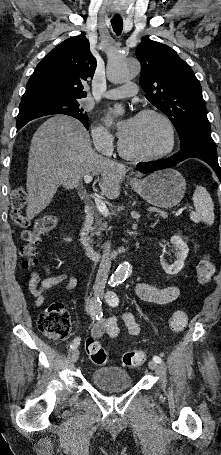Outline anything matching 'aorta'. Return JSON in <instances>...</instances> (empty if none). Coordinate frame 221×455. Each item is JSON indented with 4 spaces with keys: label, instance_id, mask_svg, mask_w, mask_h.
I'll list each match as a JSON object with an SVG mask.
<instances>
[{
    "label": "aorta",
    "instance_id": "762f6f07",
    "mask_svg": "<svg viewBox=\"0 0 221 455\" xmlns=\"http://www.w3.org/2000/svg\"><path fill=\"white\" fill-rule=\"evenodd\" d=\"M140 72V65L135 60H114L110 61L107 66V77L113 83H122L131 80ZM117 114L123 113L121 105L115 106ZM131 270L129 262H122L114 272L112 282L124 280Z\"/></svg>",
    "mask_w": 221,
    "mask_h": 455
}]
</instances>
